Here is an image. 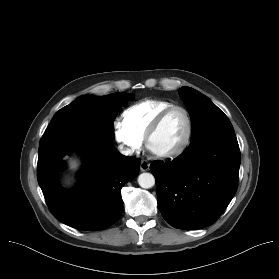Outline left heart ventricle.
Segmentation results:
<instances>
[{"instance_id": "left-heart-ventricle-1", "label": "left heart ventricle", "mask_w": 279, "mask_h": 279, "mask_svg": "<svg viewBox=\"0 0 279 279\" xmlns=\"http://www.w3.org/2000/svg\"><path fill=\"white\" fill-rule=\"evenodd\" d=\"M187 128L185 115L180 110L172 111L152 137L150 145L154 151H169L180 144Z\"/></svg>"}]
</instances>
